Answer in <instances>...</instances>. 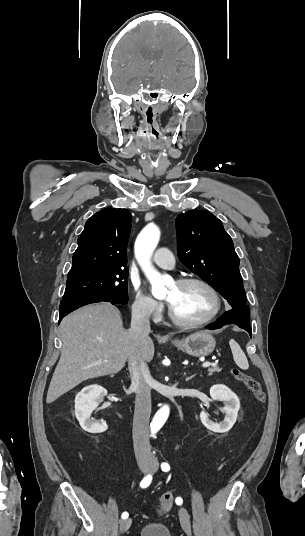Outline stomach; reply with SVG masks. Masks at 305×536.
Instances as JSON below:
<instances>
[{
    "label": "stomach",
    "mask_w": 305,
    "mask_h": 536,
    "mask_svg": "<svg viewBox=\"0 0 305 536\" xmlns=\"http://www.w3.org/2000/svg\"><path fill=\"white\" fill-rule=\"evenodd\" d=\"M173 344L178 350H182L189 356H197V358L209 356L216 346L215 338L209 332H195L184 340H174Z\"/></svg>",
    "instance_id": "0dacf381"
}]
</instances>
